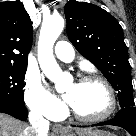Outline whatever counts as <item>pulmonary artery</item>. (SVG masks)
Instances as JSON below:
<instances>
[{
    "instance_id": "pulmonary-artery-1",
    "label": "pulmonary artery",
    "mask_w": 136,
    "mask_h": 136,
    "mask_svg": "<svg viewBox=\"0 0 136 136\" xmlns=\"http://www.w3.org/2000/svg\"><path fill=\"white\" fill-rule=\"evenodd\" d=\"M55 55L62 61L71 62L74 59V49L66 41H58L54 49Z\"/></svg>"
}]
</instances>
